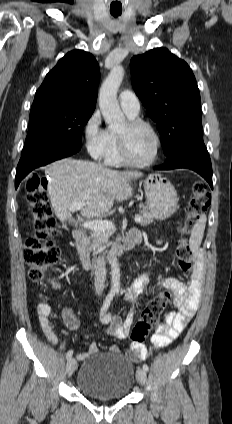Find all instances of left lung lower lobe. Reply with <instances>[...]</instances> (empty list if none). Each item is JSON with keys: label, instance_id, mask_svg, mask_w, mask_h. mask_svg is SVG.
<instances>
[{"label": "left lung lower lobe", "instance_id": "1", "mask_svg": "<svg viewBox=\"0 0 232 424\" xmlns=\"http://www.w3.org/2000/svg\"><path fill=\"white\" fill-rule=\"evenodd\" d=\"M188 168L204 177L211 188L212 165L210 156L203 142V134L197 132L184 138L167 156L166 162L156 167L158 170Z\"/></svg>", "mask_w": 232, "mask_h": 424}]
</instances>
